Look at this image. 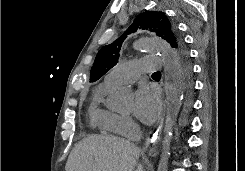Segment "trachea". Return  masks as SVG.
Wrapping results in <instances>:
<instances>
[{
  "mask_svg": "<svg viewBox=\"0 0 245 171\" xmlns=\"http://www.w3.org/2000/svg\"><path fill=\"white\" fill-rule=\"evenodd\" d=\"M158 74H160V72H155V73H153V75H158Z\"/></svg>",
  "mask_w": 245,
  "mask_h": 171,
  "instance_id": "trachea-1",
  "label": "trachea"
}]
</instances>
